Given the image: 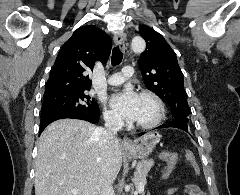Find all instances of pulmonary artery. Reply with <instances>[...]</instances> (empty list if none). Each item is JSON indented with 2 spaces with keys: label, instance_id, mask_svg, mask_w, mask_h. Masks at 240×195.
<instances>
[{
  "label": "pulmonary artery",
  "instance_id": "pulmonary-artery-1",
  "mask_svg": "<svg viewBox=\"0 0 240 195\" xmlns=\"http://www.w3.org/2000/svg\"><path fill=\"white\" fill-rule=\"evenodd\" d=\"M133 70V67L131 65H124V69H122V74L123 75H119V74H116V75H111V78L108 79V83L109 84H120L121 82L125 80H128L129 79V76H134V71Z\"/></svg>",
  "mask_w": 240,
  "mask_h": 195
}]
</instances>
